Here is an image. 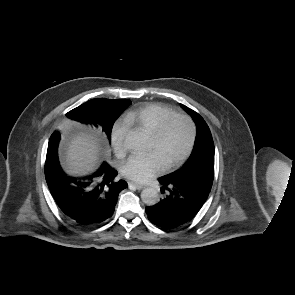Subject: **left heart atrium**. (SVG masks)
Masks as SVG:
<instances>
[{
	"mask_svg": "<svg viewBox=\"0 0 295 295\" xmlns=\"http://www.w3.org/2000/svg\"><path fill=\"white\" fill-rule=\"evenodd\" d=\"M165 165L160 156L151 151L147 154H134L123 165L124 175L137 182H147L163 171Z\"/></svg>",
	"mask_w": 295,
	"mask_h": 295,
	"instance_id": "1",
	"label": "left heart atrium"
}]
</instances>
